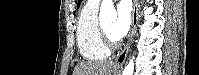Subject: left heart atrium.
<instances>
[{
	"instance_id": "left-heart-atrium-1",
	"label": "left heart atrium",
	"mask_w": 199,
	"mask_h": 75,
	"mask_svg": "<svg viewBox=\"0 0 199 75\" xmlns=\"http://www.w3.org/2000/svg\"><path fill=\"white\" fill-rule=\"evenodd\" d=\"M131 24L130 8L126 1L117 6V17L110 28V35L114 40L123 38L129 31Z\"/></svg>"
}]
</instances>
